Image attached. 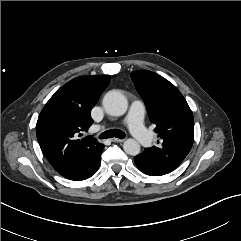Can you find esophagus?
Instances as JSON below:
<instances>
[{
    "label": "esophagus",
    "instance_id": "34e87169",
    "mask_svg": "<svg viewBox=\"0 0 241 241\" xmlns=\"http://www.w3.org/2000/svg\"><path fill=\"white\" fill-rule=\"evenodd\" d=\"M111 141H112V142H123L124 139L112 138Z\"/></svg>",
    "mask_w": 241,
    "mask_h": 241
}]
</instances>
